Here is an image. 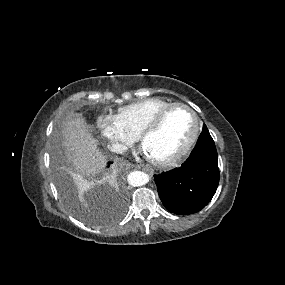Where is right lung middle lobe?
<instances>
[{
  "label": "right lung middle lobe",
  "mask_w": 285,
  "mask_h": 285,
  "mask_svg": "<svg viewBox=\"0 0 285 285\" xmlns=\"http://www.w3.org/2000/svg\"><path fill=\"white\" fill-rule=\"evenodd\" d=\"M59 186H60V190L62 192V195L64 197V199L68 202L69 206L73 207V199L71 197V193L69 190V187L64 183V181L60 178L59 179ZM75 213L81 217L82 219H84L85 221L91 223V224H101L103 222H101L99 219L93 217V216H88L86 214H84L82 211L77 210L75 208Z\"/></svg>",
  "instance_id": "right-lung-middle-lobe-1"
}]
</instances>
